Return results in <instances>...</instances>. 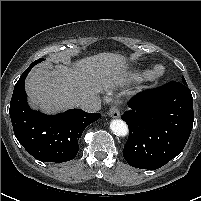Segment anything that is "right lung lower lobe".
<instances>
[{"mask_svg":"<svg viewBox=\"0 0 201 201\" xmlns=\"http://www.w3.org/2000/svg\"><path fill=\"white\" fill-rule=\"evenodd\" d=\"M31 64L15 84L10 102V117L19 143L37 160L66 162L78 153V140L84 129L98 120L99 113L70 109L48 116L32 110L27 103L24 82L34 67Z\"/></svg>","mask_w":201,"mask_h":201,"instance_id":"1","label":"right lung lower lobe"}]
</instances>
